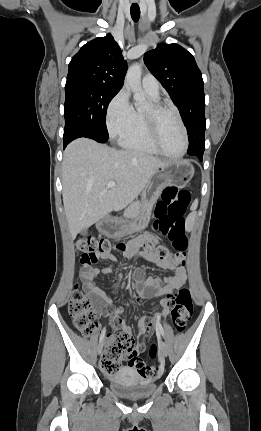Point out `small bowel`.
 <instances>
[{
	"instance_id": "c3829d8e",
	"label": "small bowel",
	"mask_w": 261,
	"mask_h": 431,
	"mask_svg": "<svg viewBox=\"0 0 261 431\" xmlns=\"http://www.w3.org/2000/svg\"><path fill=\"white\" fill-rule=\"evenodd\" d=\"M154 242L158 243L159 239L154 234L147 232L141 235L137 243L143 242ZM102 258H111V254L108 252L101 255ZM141 258L145 261L155 263L159 268L164 270L172 271L171 276L164 277L163 279L144 277L142 270L138 269L134 273V283L138 288L139 294L143 298H153L167 295L168 293L178 290L184 286L186 283V271L183 267L176 266L173 262L169 260H160L156 255L152 253H144ZM113 271L112 267L106 268H91L83 266L80 270V279L83 283L84 291L89 295L90 301L93 304L95 310L99 313L104 312V317H109V312H105L106 303L110 301V297L101 290L95 284V278L99 275L108 274ZM162 307V316L166 317L169 314L170 307L165 298L160 301ZM122 309L117 308L113 312L112 324L115 328L121 329L122 332L130 335L131 329L126 324L125 320L120 319L122 317ZM141 329L149 336L152 333V323L146 320V316L142 315L140 317ZM145 347L144 342H139L136 344L134 350L136 354L143 351Z\"/></svg>"
}]
</instances>
